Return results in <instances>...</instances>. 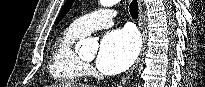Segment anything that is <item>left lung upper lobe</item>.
<instances>
[{"instance_id":"left-lung-upper-lobe-1","label":"left lung upper lobe","mask_w":205,"mask_h":87,"mask_svg":"<svg viewBox=\"0 0 205 87\" xmlns=\"http://www.w3.org/2000/svg\"><path fill=\"white\" fill-rule=\"evenodd\" d=\"M74 0H67L64 6L62 7L60 14L57 18L56 24L65 16V14L70 10Z\"/></svg>"}]
</instances>
